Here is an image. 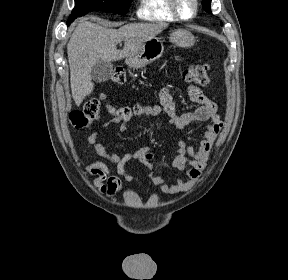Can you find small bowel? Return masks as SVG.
Here are the masks:
<instances>
[{
  "label": "small bowel",
  "mask_w": 288,
  "mask_h": 280,
  "mask_svg": "<svg viewBox=\"0 0 288 280\" xmlns=\"http://www.w3.org/2000/svg\"><path fill=\"white\" fill-rule=\"evenodd\" d=\"M170 89L171 85L162 88L159 92V104L144 107L141 116L156 117L165 115L169 124L176 126L180 130L185 129L193 123L210 122L205 129L204 139L199 143L197 148L186 140H181L177 144L176 155L171 161L170 166L183 172V176L175 181H171L166 177L153 174L151 172L153 154L149 147L126 152L122 156L108 150L100 140L102 133L113 123H120L118 128L120 133H124L128 128L127 121L121 122L120 119L115 118L103 124L100 130L95 131L88 138V143L93 146L96 153L115 164L119 174V176L112 175L109 168L99 161H93L87 167V172L95 176L94 185L101 193L108 197H114L123 191V182L130 183L133 181L132 175L125 170V165L129 161H138L146 166L150 170L149 179L151 183L165 194H177L188 191L199 180L211 157L212 147L223 124L217 114L216 104L197 86H190L188 88V95L189 99L199 106L185 113L180 112L176 108Z\"/></svg>",
  "instance_id": "obj_1"
}]
</instances>
